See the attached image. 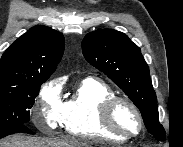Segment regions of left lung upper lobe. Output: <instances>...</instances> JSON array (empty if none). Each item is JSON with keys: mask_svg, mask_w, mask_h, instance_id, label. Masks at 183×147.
I'll return each mask as SVG.
<instances>
[{"mask_svg": "<svg viewBox=\"0 0 183 147\" xmlns=\"http://www.w3.org/2000/svg\"><path fill=\"white\" fill-rule=\"evenodd\" d=\"M82 51L85 59L105 73L139 108L149 133L164 141L166 133L158 120L156 94L139 47L124 33L103 29L84 37Z\"/></svg>", "mask_w": 183, "mask_h": 147, "instance_id": "obj_1", "label": "left lung upper lobe"}]
</instances>
